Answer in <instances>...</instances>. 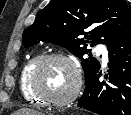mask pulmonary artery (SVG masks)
Segmentation results:
<instances>
[{"label": "pulmonary artery", "instance_id": "pulmonary-artery-1", "mask_svg": "<svg viewBox=\"0 0 131 115\" xmlns=\"http://www.w3.org/2000/svg\"><path fill=\"white\" fill-rule=\"evenodd\" d=\"M97 51L102 56L103 64H107L109 61V58H108V51H107L106 47L105 46H98Z\"/></svg>", "mask_w": 131, "mask_h": 115}]
</instances>
